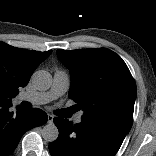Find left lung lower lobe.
Instances as JSON below:
<instances>
[{"label":"left lung lower lobe","mask_w":156,"mask_h":156,"mask_svg":"<svg viewBox=\"0 0 156 156\" xmlns=\"http://www.w3.org/2000/svg\"><path fill=\"white\" fill-rule=\"evenodd\" d=\"M54 123L59 136L49 144L51 156H114L128 133L108 123L81 121L72 125L58 117Z\"/></svg>","instance_id":"0a47b994"}]
</instances>
